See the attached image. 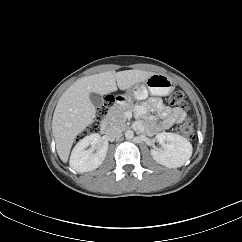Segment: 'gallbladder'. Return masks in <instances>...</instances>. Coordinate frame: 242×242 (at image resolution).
I'll return each instance as SVG.
<instances>
[{
	"label": "gallbladder",
	"instance_id": "gallbladder-1",
	"mask_svg": "<svg viewBox=\"0 0 242 242\" xmlns=\"http://www.w3.org/2000/svg\"><path fill=\"white\" fill-rule=\"evenodd\" d=\"M89 98L92 102V104L96 107V108H100L103 105V99L101 97L100 94L95 93V92H91L89 95Z\"/></svg>",
	"mask_w": 242,
	"mask_h": 242
}]
</instances>
